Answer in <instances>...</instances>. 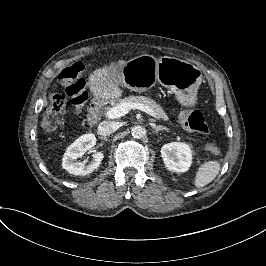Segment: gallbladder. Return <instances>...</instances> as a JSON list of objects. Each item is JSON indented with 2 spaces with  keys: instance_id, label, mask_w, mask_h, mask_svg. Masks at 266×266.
I'll use <instances>...</instances> for the list:
<instances>
[{
  "instance_id": "1",
  "label": "gallbladder",
  "mask_w": 266,
  "mask_h": 266,
  "mask_svg": "<svg viewBox=\"0 0 266 266\" xmlns=\"http://www.w3.org/2000/svg\"><path fill=\"white\" fill-rule=\"evenodd\" d=\"M122 76V72L117 73V77H121Z\"/></svg>"
}]
</instances>
